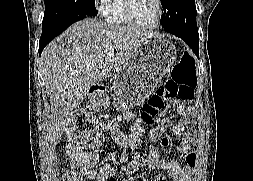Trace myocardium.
Listing matches in <instances>:
<instances>
[{"label": "myocardium", "mask_w": 253, "mask_h": 181, "mask_svg": "<svg viewBox=\"0 0 253 181\" xmlns=\"http://www.w3.org/2000/svg\"><path fill=\"white\" fill-rule=\"evenodd\" d=\"M157 2V16L153 23L151 24H143L136 20V18L133 15L132 12V0H122L123 3V13L125 16V19L128 24H130L133 27L144 29V30H151L157 28L162 20L163 16V2L162 0H156Z\"/></svg>", "instance_id": "1"}]
</instances>
